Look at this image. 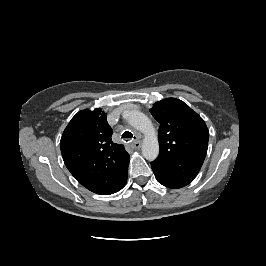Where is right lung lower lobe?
Instances as JSON below:
<instances>
[{"label":"right lung lower lobe","instance_id":"98d812e1","mask_svg":"<svg viewBox=\"0 0 266 266\" xmlns=\"http://www.w3.org/2000/svg\"><path fill=\"white\" fill-rule=\"evenodd\" d=\"M125 184H126V180H125L124 183L121 185V187L119 188V190L122 189V188L124 187ZM119 190H118V191H119Z\"/></svg>","mask_w":266,"mask_h":266}]
</instances>
